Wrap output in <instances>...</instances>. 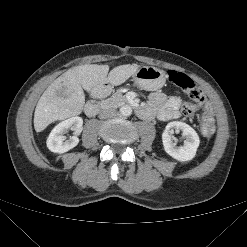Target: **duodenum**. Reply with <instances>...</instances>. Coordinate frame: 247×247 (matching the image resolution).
I'll list each match as a JSON object with an SVG mask.
<instances>
[{
	"mask_svg": "<svg viewBox=\"0 0 247 247\" xmlns=\"http://www.w3.org/2000/svg\"><path fill=\"white\" fill-rule=\"evenodd\" d=\"M111 90V85L108 82L103 83L102 85H100L99 87L96 88V95L98 96H105L107 95ZM105 108L104 105H102L100 103V101L98 99H92L89 102H87V104L85 105V113L92 117L97 115L101 110H103ZM135 113L142 117L145 118L147 115V110L144 107L138 106V105H134L133 106Z\"/></svg>",
	"mask_w": 247,
	"mask_h": 247,
	"instance_id": "duodenum-1",
	"label": "duodenum"
}]
</instances>
